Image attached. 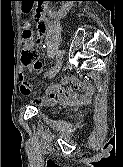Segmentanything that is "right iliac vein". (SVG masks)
<instances>
[{
    "label": "right iliac vein",
    "mask_w": 123,
    "mask_h": 167,
    "mask_svg": "<svg viewBox=\"0 0 123 167\" xmlns=\"http://www.w3.org/2000/svg\"><path fill=\"white\" fill-rule=\"evenodd\" d=\"M62 57H63V55H62ZM62 57H61V59H59L57 64L54 66V68L51 70L50 76H49L50 78L54 77L58 73V71L60 70V68L62 66Z\"/></svg>",
    "instance_id": "1"
}]
</instances>
